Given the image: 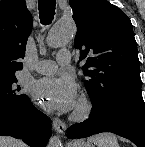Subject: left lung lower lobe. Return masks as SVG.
<instances>
[{"label":"left lung lower lobe","mask_w":145,"mask_h":147,"mask_svg":"<svg viewBox=\"0 0 145 147\" xmlns=\"http://www.w3.org/2000/svg\"><path fill=\"white\" fill-rule=\"evenodd\" d=\"M101 132H112L145 147V104L142 94L123 98L100 114L92 109L89 119L72 125L69 139L85 138Z\"/></svg>","instance_id":"1"}]
</instances>
